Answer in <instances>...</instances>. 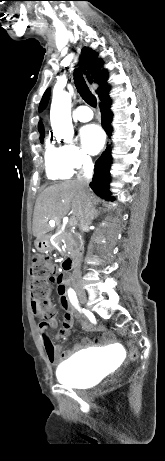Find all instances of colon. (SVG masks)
Returning <instances> with one entry per match:
<instances>
[{
  "label": "colon",
  "mask_w": 165,
  "mask_h": 461,
  "mask_svg": "<svg viewBox=\"0 0 165 461\" xmlns=\"http://www.w3.org/2000/svg\"><path fill=\"white\" fill-rule=\"evenodd\" d=\"M31 296L37 308L47 317L53 314V307L49 300V283L56 282L57 269L44 257H36L30 268ZM137 357V350L132 347L131 358Z\"/></svg>",
  "instance_id": "obj_1"
}]
</instances>
